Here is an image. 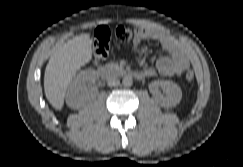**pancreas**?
I'll return each instance as SVG.
<instances>
[{"mask_svg":"<svg viewBox=\"0 0 243 167\" xmlns=\"http://www.w3.org/2000/svg\"><path fill=\"white\" fill-rule=\"evenodd\" d=\"M106 67L111 71H120L122 67L118 65V63L110 62L106 65Z\"/></svg>","mask_w":243,"mask_h":167,"instance_id":"cf45deb5","label":"pancreas"}]
</instances>
